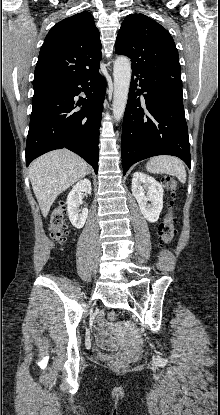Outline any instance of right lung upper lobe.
I'll list each match as a JSON object with an SVG mask.
<instances>
[{"label": "right lung upper lobe", "mask_w": 220, "mask_h": 415, "mask_svg": "<svg viewBox=\"0 0 220 415\" xmlns=\"http://www.w3.org/2000/svg\"><path fill=\"white\" fill-rule=\"evenodd\" d=\"M100 34L89 12L54 25L40 49L34 84L67 83L99 70Z\"/></svg>", "instance_id": "1"}]
</instances>
